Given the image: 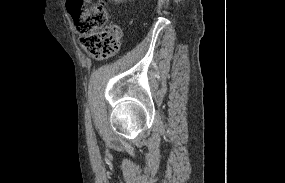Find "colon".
<instances>
[{"mask_svg": "<svg viewBox=\"0 0 285 183\" xmlns=\"http://www.w3.org/2000/svg\"><path fill=\"white\" fill-rule=\"evenodd\" d=\"M89 0H67V11L80 34L82 48L93 58L116 55L120 48L121 28L107 23V11L102 3L88 5Z\"/></svg>", "mask_w": 285, "mask_h": 183, "instance_id": "5ec220e1", "label": "colon"}]
</instances>
